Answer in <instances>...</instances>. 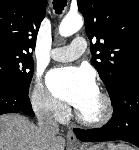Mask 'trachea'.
Instances as JSON below:
<instances>
[{
    "instance_id": "obj_1",
    "label": "trachea",
    "mask_w": 139,
    "mask_h": 150,
    "mask_svg": "<svg viewBox=\"0 0 139 150\" xmlns=\"http://www.w3.org/2000/svg\"><path fill=\"white\" fill-rule=\"evenodd\" d=\"M67 0H53V5L56 13L60 14L66 6Z\"/></svg>"
}]
</instances>
